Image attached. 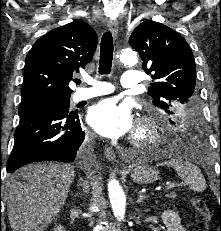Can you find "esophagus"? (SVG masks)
Instances as JSON below:
<instances>
[{"label":"esophagus","instance_id":"obj_1","mask_svg":"<svg viewBox=\"0 0 221 231\" xmlns=\"http://www.w3.org/2000/svg\"><path fill=\"white\" fill-rule=\"evenodd\" d=\"M108 28L113 34V36L116 37L118 34V21L116 19H110L108 21ZM104 155L109 161L115 160V152L111 147H105Z\"/></svg>","mask_w":221,"mask_h":231}]
</instances>
